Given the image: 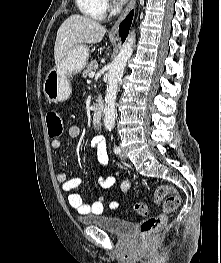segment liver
<instances>
[{
	"instance_id": "obj_1",
	"label": "liver",
	"mask_w": 221,
	"mask_h": 263,
	"mask_svg": "<svg viewBox=\"0 0 221 263\" xmlns=\"http://www.w3.org/2000/svg\"><path fill=\"white\" fill-rule=\"evenodd\" d=\"M106 28L99 22L81 15H71L57 31L54 57L58 65L67 52L76 45L99 43Z\"/></svg>"
}]
</instances>
